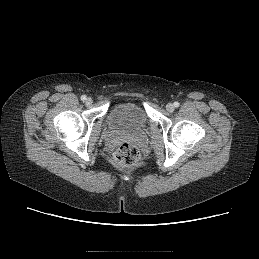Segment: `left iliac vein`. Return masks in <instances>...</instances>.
I'll use <instances>...</instances> for the list:
<instances>
[{
  "mask_svg": "<svg viewBox=\"0 0 259 259\" xmlns=\"http://www.w3.org/2000/svg\"><path fill=\"white\" fill-rule=\"evenodd\" d=\"M166 110H167L168 112H173V111H174V105H173L172 103H168V104L166 105Z\"/></svg>",
  "mask_w": 259,
  "mask_h": 259,
  "instance_id": "1",
  "label": "left iliac vein"
}]
</instances>
